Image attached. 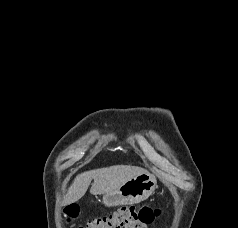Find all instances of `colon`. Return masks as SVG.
I'll use <instances>...</instances> for the list:
<instances>
[{"instance_id":"1","label":"colon","mask_w":238,"mask_h":228,"mask_svg":"<svg viewBox=\"0 0 238 228\" xmlns=\"http://www.w3.org/2000/svg\"><path fill=\"white\" fill-rule=\"evenodd\" d=\"M79 208L67 206L64 214L68 219L75 218ZM160 215V210L148 205L121 206L105 215L95 217L78 228H135L139 224L149 225Z\"/></svg>"}]
</instances>
